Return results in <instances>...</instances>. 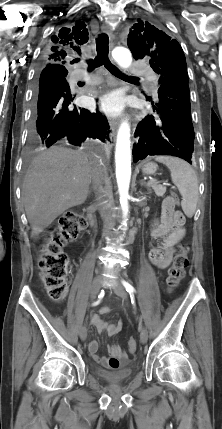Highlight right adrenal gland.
Wrapping results in <instances>:
<instances>
[{
	"instance_id": "1",
	"label": "right adrenal gland",
	"mask_w": 222,
	"mask_h": 429,
	"mask_svg": "<svg viewBox=\"0 0 222 429\" xmlns=\"http://www.w3.org/2000/svg\"><path fill=\"white\" fill-rule=\"evenodd\" d=\"M91 192H92V190H90L88 194L90 195V194H91Z\"/></svg>"
}]
</instances>
